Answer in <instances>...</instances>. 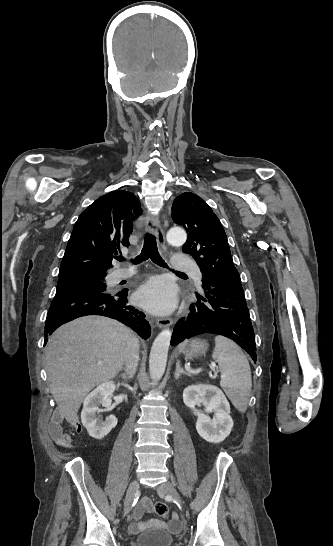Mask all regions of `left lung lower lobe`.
<instances>
[{"label":"left lung lower lobe","mask_w":333,"mask_h":546,"mask_svg":"<svg viewBox=\"0 0 333 546\" xmlns=\"http://www.w3.org/2000/svg\"><path fill=\"white\" fill-rule=\"evenodd\" d=\"M174 327L171 345L200 334L226 336L240 345L256 362L255 334L242 286L213 287L203 282L202 295Z\"/></svg>","instance_id":"left-lung-lower-lobe-1"}]
</instances>
